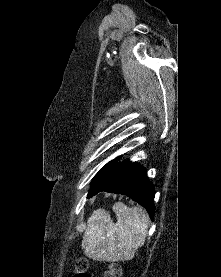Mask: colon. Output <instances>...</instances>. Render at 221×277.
I'll use <instances>...</instances> for the list:
<instances>
[{
    "mask_svg": "<svg viewBox=\"0 0 221 277\" xmlns=\"http://www.w3.org/2000/svg\"><path fill=\"white\" fill-rule=\"evenodd\" d=\"M89 263L86 259L81 258L77 261L72 277H92L89 273ZM122 268L117 263H110L104 277H121Z\"/></svg>",
    "mask_w": 221,
    "mask_h": 277,
    "instance_id": "colon-1",
    "label": "colon"
}]
</instances>
